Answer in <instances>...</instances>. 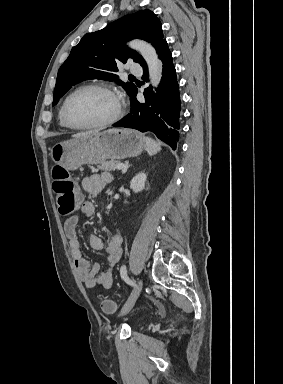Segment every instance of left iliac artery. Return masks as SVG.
<instances>
[{"mask_svg": "<svg viewBox=\"0 0 283 384\" xmlns=\"http://www.w3.org/2000/svg\"><path fill=\"white\" fill-rule=\"evenodd\" d=\"M120 275H121V278L129 285L131 286H135L136 284L129 279L128 275H127V270H126V266L123 265L120 269Z\"/></svg>", "mask_w": 283, "mask_h": 384, "instance_id": "1", "label": "left iliac artery"}]
</instances>
